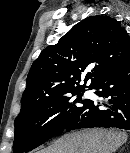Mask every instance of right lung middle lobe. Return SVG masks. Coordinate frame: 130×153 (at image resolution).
I'll use <instances>...</instances> for the list:
<instances>
[{"label":"right lung middle lobe","instance_id":"obj_1","mask_svg":"<svg viewBox=\"0 0 130 153\" xmlns=\"http://www.w3.org/2000/svg\"><path fill=\"white\" fill-rule=\"evenodd\" d=\"M83 92L45 102L17 116L14 153L31 151L62 132L89 103L88 99L82 100Z\"/></svg>","mask_w":130,"mask_h":153}]
</instances>
